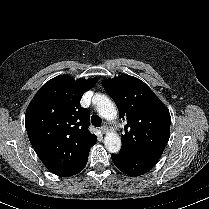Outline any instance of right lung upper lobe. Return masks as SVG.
Segmentation results:
<instances>
[{
	"label": "right lung upper lobe",
	"instance_id": "obj_1",
	"mask_svg": "<svg viewBox=\"0 0 209 209\" xmlns=\"http://www.w3.org/2000/svg\"><path fill=\"white\" fill-rule=\"evenodd\" d=\"M96 78L74 80L60 75L46 82L31 100L25 127L30 143L44 165L65 177L89 153L97 137L88 130L89 112L80 99Z\"/></svg>",
	"mask_w": 209,
	"mask_h": 209
}]
</instances>
